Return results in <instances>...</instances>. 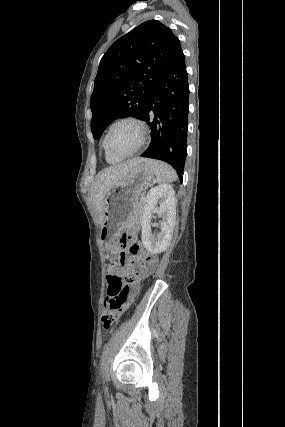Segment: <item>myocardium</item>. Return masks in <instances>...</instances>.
<instances>
[{
    "instance_id": "1",
    "label": "myocardium",
    "mask_w": 285,
    "mask_h": 427,
    "mask_svg": "<svg viewBox=\"0 0 285 427\" xmlns=\"http://www.w3.org/2000/svg\"><path fill=\"white\" fill-rule=\"evenodd\" d=\"M121 123H131V124H134L138 128L139 134H140V138H139L138 144L136 145V147L133 150H131L128 153H116V152L112 151L110 149L109 145H108V138H109V134H110L111 130L116 125L121 124ZM146 138H147V127H146L144 121H142L141 119H139L137 117L127 116V117H122V118H119V119L115 120L108 127V129H107V131L105 133L103 142H104V146H105L106 150L110 154H112L114 156H117L119 158H126V157H130V156L134 155L135 153H137L142 148V146L145 144Z\"/></svg>"
}]
</instances>
